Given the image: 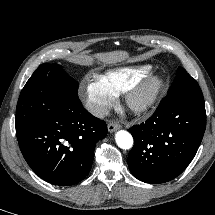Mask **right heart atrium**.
<instances>
[{"mask_svg": "<svg viewBox=\"0 0 215 215\" xmlns=\"http://www.w3.org/2000/svg\"><path fill=\"white\" fill-rule=\"evenodd\" d=\"M80 97L86 109L97 118L104 117L116 102V95L102 83L98 76L83 80Z\"/></svg>", "mask_w": 215, "mask_h": 215, "instance_id": "1", "label": "right heart atrium"}]
</instances>
